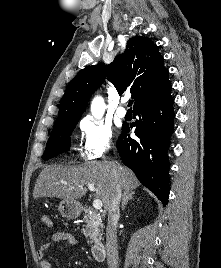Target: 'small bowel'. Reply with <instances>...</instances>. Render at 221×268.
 Segmentation results:
<instances>
[{"label":"small bowel","mask_w":221,"mask_h":268,"mask_svg":"<svg viewBox=\"0 0 221 268\" xmlns=\"http://www.w3.org/2000/svg\"><path fill=\"white\" fill-rule=\"evenodd\" d=\"M57 243H66L71 246H76L77 245V240L76 238L69 232H56L52 234L50 242H47L45 244H42L37 252V258L39 259V266L40 268H51V263L45 259L46 252L54 245Z\"/></svg>","instance_id":"c3829d8e"}]
</instances>
